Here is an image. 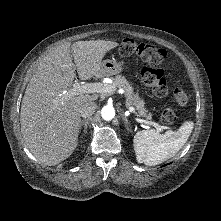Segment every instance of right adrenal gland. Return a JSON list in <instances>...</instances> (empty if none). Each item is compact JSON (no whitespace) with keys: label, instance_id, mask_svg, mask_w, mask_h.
<instances>
[{"label":"right adrenal gland","instance_id":"right-adrenal-gland-1","mask_svg":"<svg viewBox=\"0 0 221 221\" xmlns=\"http://www.w3.org/2000/svg\"><path fill=\"white\" fill-rule=\"evenodd\" d=\"M87 124H88V119H83V120H81V122H80V125H79V129H80V131H81V129H82V126L84 125V133L86 134L87 133V131H86V129H87Z\"/></svg>","mask_w":221,"mask_h":221}]
</instances>
